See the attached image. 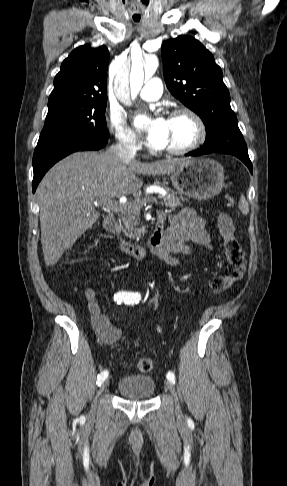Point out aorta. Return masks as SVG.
I'll use <instances>...</instances> for the list:
<instances>
[{
  "label": "aorta",
  "mask_w": 287,
  "mask_h": 486,
  "mask_svg": "<svg viewBox=\"0 0 287 486\" xmlns=\"http://www.w3.org/2000/svg\"><path fill=\"white\" fill-rule=\"evenodd\" d=\"M157 68L158 59L156 57H150L144 69L140 61L133 62L130 76L126 72H121L116 77L114 91L118 99L127 103L130 94L132 97H136L142 88L144 79L150 78L156 72Z\"/></svg>",
  "instance_id": "aorta-1"
}]
</instances>
